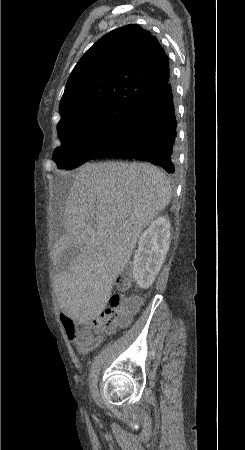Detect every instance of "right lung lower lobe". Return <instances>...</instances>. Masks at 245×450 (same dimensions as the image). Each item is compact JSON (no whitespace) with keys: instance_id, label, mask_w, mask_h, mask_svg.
<instances>
[{"instance_id":"1","label":"right lung lower lobe","mask_w":245,"mask_h":450,"mask_svg":"<svg viewBox=\"0 0 245 450\" xmlns=\"http://www.w3.org/2000/svg\"><path fill=\"white\" fill-rule=\"evenodd\" d=\"M176 139V116L169 80L158 93L134 109L123 135L105 151L96 152L90 159H136L174 173Z\"/></svg>"}]
</instances>
